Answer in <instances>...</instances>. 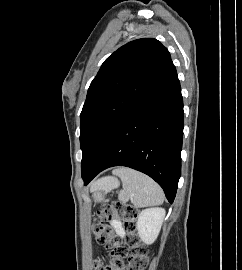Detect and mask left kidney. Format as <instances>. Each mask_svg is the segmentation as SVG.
<instances>
[{"mask_svg":"<svg viewBox=\"0 0 242 270\" xmlns=\"http://www.w3.org/2000/svg\"><path fill=\"white\" fill-rule=\"evenodd\" d=\"M164 217L165 210L159 207L147 208L140 212L136 228L145 244H152L157 239Z\"/></svg>","mask_w":242,"mask_h":270,"instance_id":"5707ae66","label":"left kidney"}]
</instances>
